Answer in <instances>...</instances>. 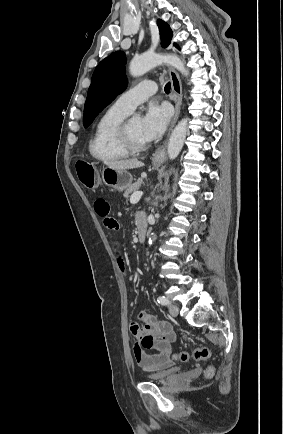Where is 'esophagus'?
Segmentation results:
<instances>
[{"label": "esophagus", "instance_id": "obj_1", "mask_svg": "<svg viewBox=\"0 0 283 434\" xmlns=\"http://www.w3.org/2000/svg\"><path fill=\"white\" fill-rule=\"evenodd\" d=\"M168 71H169V76H170V80H171L172 91L176 97L175 115H174L173 121L171 123V127L169 129V133H170V131L172 130V128L174 127L175 123L178 120L181 105H182V96L183 95H182V84H181V80H180L178 73L172 67H168ZM165 145H166V142H164L160 147H158L156 149V151L153 153L152 160L154 162H161V161L166 159V147H165Z\"/></svg>", "mask_w": 283, "mask_h": 434}]
</instances>
